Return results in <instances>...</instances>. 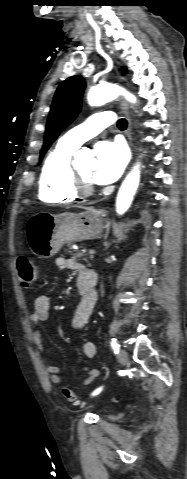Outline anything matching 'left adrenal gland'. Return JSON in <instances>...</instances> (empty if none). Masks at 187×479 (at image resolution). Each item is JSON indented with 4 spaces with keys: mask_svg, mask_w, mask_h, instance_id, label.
Wrapping results in <instances>:
<instances>
[{
    "mask_svg": "<svg viewBox=\"0 0 187 479\" xmlns=\"http://www.w3.org/2000/svg\"><path fill=\"white\" fill-rule=\"evenodd\" d=\"M106 249L110 247V244L105 242Z\"/></svg>",
    "mask_w": 187,
    "mask_h": 479,
    "instance_id": "left-adrenal-gland-1",
    "label": "left adrenal gland"
}]
</instances>
